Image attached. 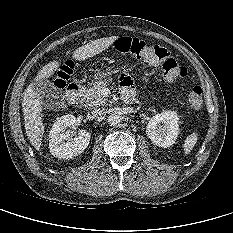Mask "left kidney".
Here are the masks:
<instances>
[{"instance_id":"5707ae66","label":"left kidney","mask_w":233,"mask_h":233,"mask_svg":"<svg viewBox=\"0 0 233 233\" xmlns=\"http://www.w3.org/2000/svg\"><path fill=\"white\" fill-rule=\"evenodd\" d=\"M178 119V114L175 111L168 110L156 114L147 124L146 134L148 138L159 147L172 146L179 133Z\"/></svg>"}]
</instances>
